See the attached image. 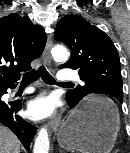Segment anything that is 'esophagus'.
<instances>
[{
	"mask_svg": "<svg viewBox=\"0 0 130 153\" xmlns=\"http://www.w3.org/2000/svg\"><path fill=\"white\" fill-rule=\"evenodd\" d=\"M51 48H52V38H51V36L49 35V36H48V39H47L46 46H45V50H44V52H43V59H44V62H45L46 64H50V62H51V54H50ZM60 122H61V117H60V116L55 117V118L49 123V127H50L53 131H56L57 128L59 127V125H60Z\"/></svg>",
	"mask_w": 130,
	"mask_h": 153,
	"instance_id": "obj_1",
	"label": "esophagus"
}]
</instances>
